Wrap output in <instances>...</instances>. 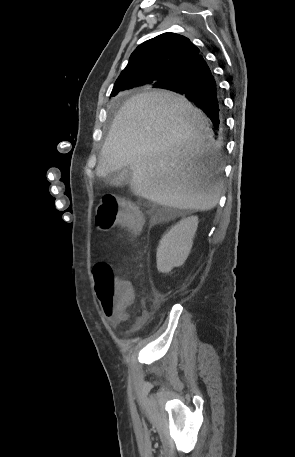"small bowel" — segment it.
Returning a JSON list of instances; mask_svg holds the SVG:
<instances>
[{"instance_id":"small-bowel-1","label":"small bowel","mask_w":295,"mask_h":457,"mask_svg":"<svg viewBox=\"0 0 295 457\" xmlns=\"http://www.w3.org/2000/svg\"><path fill=\"white\" fill-rule=\"evenodd\" d=\"M121 318H118L116 316H111V322L112 324L116 325Z\"/></svg>"}]
</instances>
